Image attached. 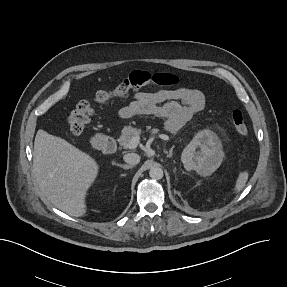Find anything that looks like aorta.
<instances>
[{"label":"aorta","instance_id":"1","mask_svg":"<svg viewBox=\"0 0 287 287\" xmlns=\"http://www.w3.org/2000/svg\"><path fill=\"white\" fill-rule=\"evenodd\" d=\"M149 175L152 179L160 180L163 177V170L160 167H152L149 171Z\"/></svg>","mask_w":287,"mask_h":287}]
</instances>
